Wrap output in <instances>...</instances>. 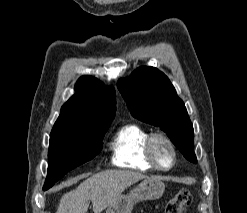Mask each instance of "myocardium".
<instances>
[{
  "instance_id": "myocardium-1",
  "label": "myocardium",
  "mask_w": 247,
  "mask_h": 213,
  "mask_svg": "<svg viewBox=\"0 0 247 213\" xmlns=\"http://www.w3.org/2000/svg\"><path fill=\"white\" fill-rule=\"evenodd\" d=\"M157 142H164L169 147L171 151V163L169 166H163L158 160L156 152H155V146ZM145 153H146V157L149 160V162L157 170H160V171L171 170L177 162V151H176L175 144L168 136L162 133H153L148 137L145 143Z\"/></svg>"
}]
</instances>
